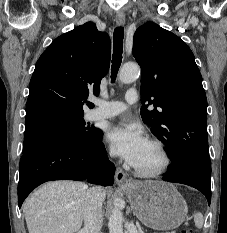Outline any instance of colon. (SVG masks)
Wrapping results in <instances>:
<instances>
[{
  "label": "colon",
  "mask_w": 227,
  "mask_h": 233,
  "mask_svg": "<svg viewBox=\"0 0 227 233\" xmlns=\"http://www.w3.org/2000/svg\"><path fill=\"white\" fill-rule=\"evenodd\" d=\"M181 233H194L192 229H184Z\"/></svg>",
  "instance_id": "obj_1"
}]
</instances>
